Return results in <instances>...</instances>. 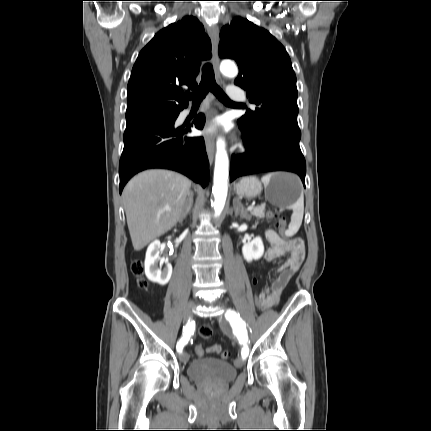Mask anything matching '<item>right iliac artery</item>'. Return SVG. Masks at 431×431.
<instances>
[{
  "instance_id": "right-iliac-artery-1",
  "label": "right iliac artery",
  "mask_w": 431,
  "mask_h": 431,
  "mask_svg": "<svg viewBox=\"0 0 431 431\" xmlns=\"http://www.w3.org/2000/svg\"><path fill=\"white\" fill-rule=\"evenodd\" d=\"M195 325L188 321V323L183 327L182 337L179 339L176 345V349L179 353L182 352L184 346L188 343L190 336L193 334Z\"/></svg>"
}]
</instances>
